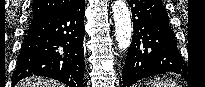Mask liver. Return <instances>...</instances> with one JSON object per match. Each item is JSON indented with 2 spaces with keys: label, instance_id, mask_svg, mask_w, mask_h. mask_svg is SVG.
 <instances>
[{
  "label": "liver",
  "instance_id": "liver-1",
  "mask_svg": "<svg viewBox=\"0 0 205 87\" xmlns=\"http://www.w3.org/2000/svg\"><path fill=\"white\" fill-rule=\"evenodd\" d=\"M17 87H63V85L50 79L32 77L20 81Z\"/></svg>",
  "mask_w": 205,
  "mask_h": 87
}]
</instances>
